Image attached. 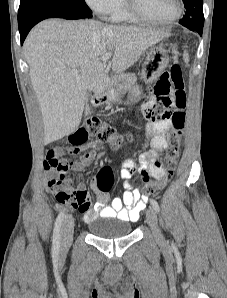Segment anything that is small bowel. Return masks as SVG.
Segmentation results:
<instances>
[{"label":"small bowel","instance_id":"c3829d8e","mask_svg":"<svg viewBox=\"0 0 227 298\" xmlns=\"http://www.w3.org/2000/svg\"><path fill=\"white\" fill-rule=\"evenodd\" d=\"M171 72H162L154 82V92H150L146 103L142 105L141 115H157L159 107L151 103H173V91L169 82ZM165 109H172V104H165ZM161 115H172V110H161ZM145 135L149 140L150 149L138 156V161L127 159L123 162L120 176L124 180L126 190L122 196L110 198L107 192L98 191L97 202L92 205L89 192L84 184L71 187L65 180L66 173L71 170H80L87 166L93 159L95 151L105 147V142H86L85 146H50L46 153L45 168L49 174V186L55 194L56 188H63L82 195L79 204L71 205L83 214L85 222H90L98 217L118 218L125 221L138 220L148 201L147 195H142L139 188H134L131 180L139 175L141 181L148 183L152 178L162 179L166 169L158 160V153L169 149V137L172 134V124L169 117H145ZM94 146V147H93ZM83 154V155H82ZM69 155H82L77 162H67L63 158ZM56 183V187L51 186Z\"/></svg>","mask_w":227,"mask_h":298}]
</instances>
